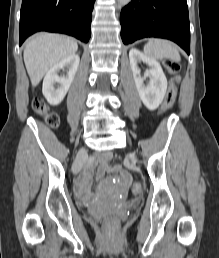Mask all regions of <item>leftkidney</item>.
Here are the masks:
<instances>
[{"label":"left kidney","instance_id":"obj_1","mask_svg":"<svg viewBox=\"0 0 219 258\" xmlns=\"http://www.w3.org/2000/svg\"><path fill=\"white\" fill-rule=\"evenodd\" d=\"M129 60L140 99L149 110L157 109L162 103L167 90V79L160 63L135 48L130 50ZM140 61L150 67L143 77L137 65ZM147 77H149V82L145 85L144 81Z\"/></svg>","mask_w":219,"mask_h":258}]
</instances>
